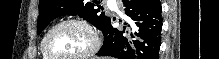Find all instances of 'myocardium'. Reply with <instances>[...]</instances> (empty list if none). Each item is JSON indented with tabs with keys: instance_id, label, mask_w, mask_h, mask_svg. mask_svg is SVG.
Here are the masks:
<instances>
[{
	"instance_id": "f54148a6",
	"label": "myocardium",
	"mask_w": 219,
	"mask_h": 59,
	"mask_svg": "<svg viewBox=\"0 0 219 59\" xmlns=\"http://www.w3.org/2000/svg\"><path fill=\"white\" fill-rule=\"evenodd\" d=\"M67 24H77L82 26L91 36V46L83 53L78 54L76 56H69V57H60L54 55L49 47H48V40L51 34L59 27ZM42 50L50 59H88L94 56L99 48H100V38L96 32V30L86 21L81 18H66L60 20L59 22L55 23L44 35L42 42H41Z\"/></svg>"
}]
</instances>
